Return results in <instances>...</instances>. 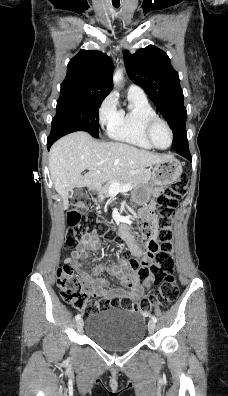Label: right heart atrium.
<instances>
[{
	"mask_svg": "<svg viewBox=\"0 0 228 396\" xmlns=\"http://www.w3.org/2000/svg\"><path fill=\"white\" fill-rule=\"evenodd\" d=\"M118 105L113 95H108L101 102L98 109L99 124L109 127L118 117Z\"/></svg>",
	"mask_w": 228,
	"mask_h": 396,
	"instance_id": "obj_1",
	"label": "right heart atrium"
}]
</instances>
